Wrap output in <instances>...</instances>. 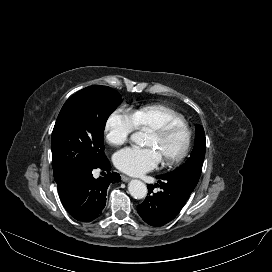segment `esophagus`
Listing matches in <instances>:
<instances>
[{"instance_id": "1", "label": "esophagus", "mask_w": 272, "mask_h": 272, "mask_svg": "<svg viewBox=\"0 0 272 272\" xmlns=\"http://www.w3.org/2000/svg\"><path fill=\"white\" fill-rule=\"evenodd\" d=\"M121 179H122V181H123V182H128V181H130V180H131V178H130V177L125 176V175H122V176H121Z\"/></svg>"}]
</instances>
